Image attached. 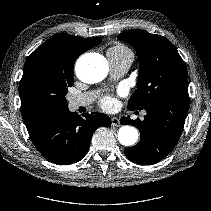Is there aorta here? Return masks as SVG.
Wrapping results in <instances>:
<instances>
[{
    "label": "aorta",
    "mask_w": 211,
    "mask_h": 211,
    "mask_svg": "<svg viewBox=\"0 0 211 211\" xmlns=\"http://www.w3.org/2000/svg\"><path fill=\"white\" fill-rule=\"evenodd\" d=\"M75 70L83 82L96 83L107 76L108 63L99 54H85L77 60ZM137 139L138 131L132 126H122L118 131V140L124 146L135 144Z\"/></svg>",
    "instance_id": "aorta-1"
}]
</instances>
